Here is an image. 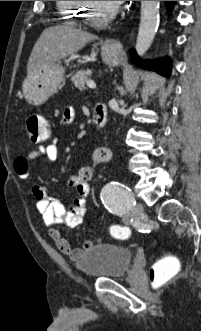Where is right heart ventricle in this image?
Wrapping results in <instances>:
<instances>
[{
	"label": "right heart ventricle",
	"mask_w": 201,
	"mask_h": 331,
	"mask_svg": "<svg viewBox=\"0 0 201 331\" xmlns=\"http://www.w3.org/2000/svg\"><path fill=\"white\" fill-rule=\"evenodd\" d=\"M61 19L71 24H77L80 14V1H56Z\"/></svg>",
	"instance_id": "right-heart-ventricle-1"
}]
</instances>
